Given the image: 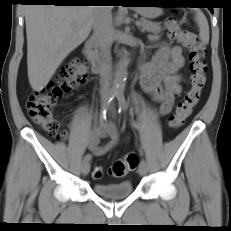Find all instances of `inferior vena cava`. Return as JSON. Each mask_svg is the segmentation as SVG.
Returning <instances> with one entry per match:
<instances>
[{"label": "inferior vena cava", "mask_w": 231, "mask_h": 231, "mask_svg": "<svg viewBox=\"0 0 231 231\" xmlns=\"http://www.w3.org/2000/svg\"><path fill=\"white\" fill-rule=\"evenodd\" d=\"M112 13L110 6H95L93 15V36L102 56L101 92L106 93L111 86V46Z\"/></svg>", "instance_id": "inferior-vena-cava-1"}]
</instances>
